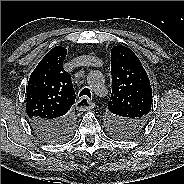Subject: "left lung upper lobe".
Returning a JSON list of instances; mask_svg holds the SVG:
<instances>
[{
  "label": "left lung upper lobe",
  "instance_id": "5c2ea615",
  "mask_svg": "<svg viewBox=\"0 0 184 184\" xmlns=\"http://www.w3.org/2000/svg\"><path fill=\"white\" fill-rule=\"evenodd\" d=\"M111 73L109 126L113 135L130 138L148 121L152 106L149 78L135 53L121 45L111 50Z\"/></svg>",
  "mask_w": 184,
  "mask_h": 184
}]
</instances>
